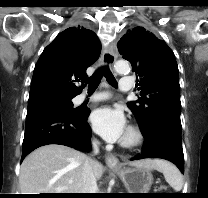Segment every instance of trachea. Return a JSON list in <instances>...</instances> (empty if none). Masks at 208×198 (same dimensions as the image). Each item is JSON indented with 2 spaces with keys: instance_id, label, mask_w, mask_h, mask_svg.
<instances>
[{
  "instance_id": "3493384b",
  "label": "trachea",
  "mask_w": 208,
  "mask_h": 198,
  "mask_svg": "<svg viewBox=\"0 0 208 198\" xmlns=\"http://www.w3.org/2000/svg\"><path fill=\"white\" fill-rule=\"evenodd\" d=\"M103 76L106 78L107 82L110 85H112L113 87L117 86L116 79L113 76L112 72L109 70L108 67H103L98 69L89 79H87L86 82L88 83V90L90 92H94L97 89Z\"/></svg>"
}]
</instances>
